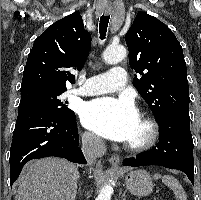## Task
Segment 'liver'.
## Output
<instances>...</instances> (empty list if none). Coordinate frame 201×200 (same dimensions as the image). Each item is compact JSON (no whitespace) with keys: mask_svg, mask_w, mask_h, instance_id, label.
I'll return each mask as SVG.
<instances>
[{"mask_svg":"<svg viewBox=\"0 0 201 200\" xmlns=\"http://www.w3.org/2000/svg\"><path fill=\"white\" fill-rule=\"evenodd\" d=\"M79 172L76 165L47 157L25 165L15 200H75Z\"/></svg>","mask_w":201,"mask_h":200,"instance_id":"obj_1","label":"liver"}]
</instances>
